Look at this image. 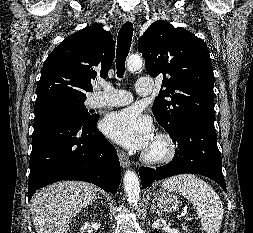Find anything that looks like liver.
<instances>
[{
  "instance_id": "obj_1",
  "label": "liver",
  "mask_w": 253,
  "mask_h": 233,
  "mask_svg": "<svg viewBox=\"0 0 253 233\" xmlns=\"http://www.w3.org/2000/svg\"><path fill=\"white\" fill-rule=\"evenodd\" d=\"M98 196L93 184L56 182L34 194L31 213L36 233H65L72 220Z\"/></svg>"
}]
</instances>
